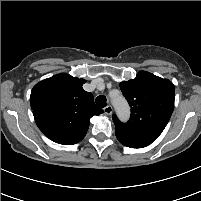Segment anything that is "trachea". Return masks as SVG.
<instances>
[{"label": "trachea", "mask_w": 201, "mask_h": 201, "mask_svg": "<svg viewBox=\"0 0 201 201\" xmlns=\"http://www.w3.org/2000/svg\"><path fill=\"white\" fill-rule=\"evenodd\" d=\"M95 101H96L97 106H99V107H101V108H103V107H105V106L107 105V103H106V97L103 96V95H99V96L96 98Z\"/></svg>", "instance_id": "3493384b"}]
</instances>
